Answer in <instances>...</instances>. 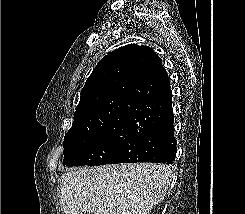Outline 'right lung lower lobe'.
I'll use <instances>...</instances> for the list:
<instances>
[{"label":"right lung lower lobe","mask_w":245,"mask_h":214,"mask_svg":"<svg viewBox=\"0 0 245 214\" xmlns=\"http://www.w3.org/2000/svg\"><path fill=\"white\" fill-rule=\"evenodd\" d=\"M141 111L118 146V163L155 162L171 164L177 147L174 138L172 93L166 73V85L157 94L138 98Z\"/></svg>","instance_id":"98d812e1"}]
</instances>
